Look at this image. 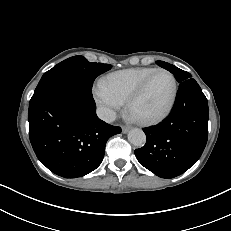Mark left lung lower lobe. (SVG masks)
Wrapping results in <instances>:
<instances>
[{
  "label": "left lung lower lobe",
  "instance_id": "0a47b994",
  "mask_svg": "<svg viewBox=\"0 0 231 231\" xmlns=\"http://www.w3.org/2000/svg\"><path fill=\"white\" fill-rule=\"evenodd\" d=\"M208 103L198 83H180L170 115L159 125L145 128L146 144L135 150L139 163L161 178H174L202 155L208 138Z\"/></svg>",
  "mask_w": 231,
  "mask_h": 231
}]
</instances>
